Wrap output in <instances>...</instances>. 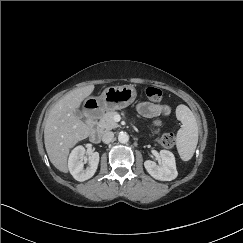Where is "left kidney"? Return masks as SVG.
Here are the masks:
<instances>
[{
    "label": "left kidney",
    "mask_w": 243,
    "mask_h": 243,
    "mask_svg": "<svg viewBox=\"0 0 243 243\" xmlns=\"http://www.w3.org/2000/svg\"><path fill=\"white\" fill-rule=\"evenodd\" d=\"M161 163L159 166L154 161L146 160L144 167L147 172L155 179L161 181L174 180L178 172L176 170L175 157L172 152L168 150L160 151Z\"/></svg>",
    "instance_id": "1"
}]
</instances>
